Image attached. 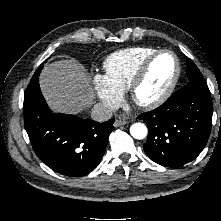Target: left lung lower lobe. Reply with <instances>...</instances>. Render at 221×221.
<instances>
[{"label": "left lung lower lobe", "instance_id": "obj_1", "mask_svg": "<svg viewBox=\"0 0 221 221\" xmlns=\"http://www.w3.org/2000/svg\"><path fill=\"white\" fill-rule=\"evenodd\" d=\"M212 113L206 82L177 90L163 105L138 116L148 127V138L143 145L145 153L167 167L192 161L208 141Z\"/></svg>", "mask_w": 221, "mask_h": 221}]
</instances>
